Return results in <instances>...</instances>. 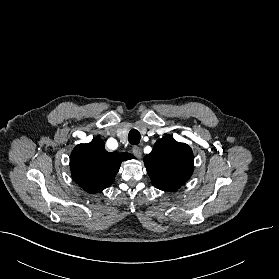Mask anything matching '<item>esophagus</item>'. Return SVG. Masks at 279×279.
<instances>
[{
    "mask_svg": "<svg viewBox=\"0 0 279 279\" xmlns=\"http://www.w3.org/2000/svg\"><path fill=\"white\" fill-rule=\"evenodd\" d=\"M132 152H133V154H134L137 158L140 159V158L142 157V151H141L140 147L134 146V147L132 148Z\"/></svg>",
    "mask_w": 279,
    "mask_h": 279,
    "instance_id": "esophagus-1",
    "label": "esophagus"
}]
</instances>
